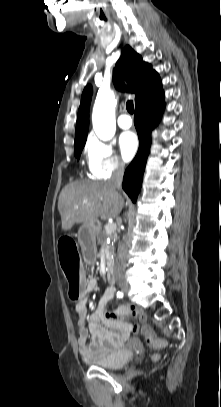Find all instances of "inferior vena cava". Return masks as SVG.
<instances>
[{
	"mask_svg": "<svg viewBox=\"0 0 221 407\" xmlns=\"http://www.w3.org/2000/svg\"><path fill=\"white\" fill-rule=\"evenodd\" d=\"M124 163L117 162L111 179L108 180V184L115 190H119L124 175ZM126 257H127V247L122 243L118 248L117 258L115 262L114 272L116 275H121L125 271L126 267Z\"/></svg>",
	"mask_w": 221,
	"mask_h": 407,
	"instance_id": "inferior-vena-cava-1",
	"label": "inferior vena cava"
}]
</instances>
